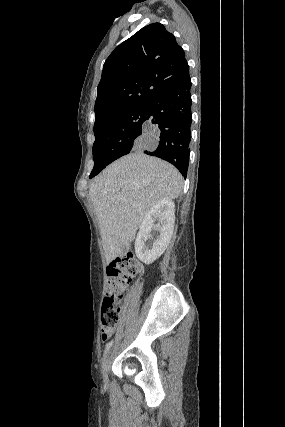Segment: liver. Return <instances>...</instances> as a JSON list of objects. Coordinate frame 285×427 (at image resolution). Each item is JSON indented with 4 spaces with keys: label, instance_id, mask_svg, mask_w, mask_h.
Wrapping results in <instances>:
<instances>
[{
    "label": "liver",
    "instance_id": "6515ba94",
    "mask_svg": "<svg viewBox=\"0 0 285 427\" xmlns=\"http://www.w3.org/2000/svg\"><path fill=\"white\" fill-rule=\"evenodd\" d=\"M182 184L183 178L174 166L142 152L123 156L94 179L89 194L107 263L134 240L152 206L163 198H177Z\"/></svg>",
    "mask_w": 285,
    "mask_h": 427
}]
</instances>
